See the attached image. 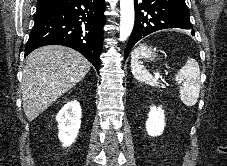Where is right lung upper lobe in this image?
Instances as JSON below:
<instances>
[{"label":"right lung upper lobe","mask_w":227,"mask_h":166,"mask_svg":"<svg viewBox=\"0 0 227 166\" xmlns=\"http://www.w3.org/2000/svg\"><path fill=\"white\" fill-rule=\"evenodd\" d=\"M57 1H59V0H38L37 8H40V7L55 3Z\"/></svg>","instance_id":"cb5924a9"}]
</instances>
